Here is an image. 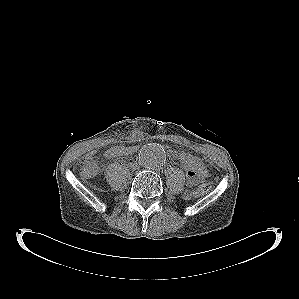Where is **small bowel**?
<instances>
[{
	"label": "small bowel",
	"mask_w": 299,
	"mask_h": 299,
	"mask_svg": "<svg viewBox=\"0 0 299 299\" xmlns=\"http://www.w3.org/2000/svg\"><path fill=\"white\" fill-rule=\"evenodd\" d=\"M137 150L136 146H114L109 148L105 155L108 158H117L121 156L131 155ZM207 174L206 169L201 166L200 169H186L187 183L189 186L198 184Z\"/></svg>",
	"instance_id": "c3829d8e"
}]
</instances>
